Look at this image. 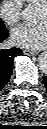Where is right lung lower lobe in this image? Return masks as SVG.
I'll use <instances>...</instances> for the list:
<instances>
[{
	"label": "right lung lower lobe",
	"instance_id": "obj_1",
	"mask_svg": "<svg viewBox=\"0 0 47 129\" xmlns=\"http://www.w3.org/2000/svg\"><path fill=\"white\" fill-rule=\"evenodd\" d=\"M8 37V30L0 27V43ZM22 51L18 48L0 49V90L8 83L13 67V60L21 55Z\"/></svg>",
	"mask_w": 47,
	"mask_h": 129
}]
</instances>
